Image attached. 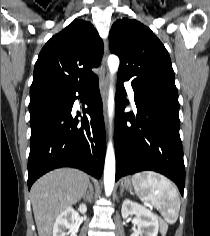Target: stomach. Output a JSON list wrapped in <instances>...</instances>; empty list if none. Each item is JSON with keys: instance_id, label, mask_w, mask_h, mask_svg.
<instances>
[{"instance_id": "stomach-1", "label": "stomach", "mask_w": 210, "mask_h": 236, "mask_svg": "<svg viewBox=\"0 0 210 236\" xmlns=\"http://www.w3.org/2000/svg\"><path fill=\"white\" fill-rule=\"evenodd\" d=\"M121 187L126 190H131L134 185L130 179H124L121 183Z\"/></svg>"}]
</instances>
